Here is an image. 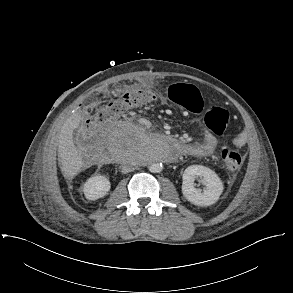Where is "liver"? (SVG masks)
Listing matches in <instances>:
<instances>
[{"label": "liver", "mask_w": 293, "mask_h": 293, "mask_svg": "<svg viewBox=\"0 0 293 293\" xmlns=\"http://www.w3.org/2000/svg\"><path fill=\"white\" fill-rule=\"evenodd\" d=\"M80 113L71 115L62 125L58 137V160L65 178H73L83 167V159L73 143V131L80 125Z\"/></svg>", "instance_id": "liver-1"}]
</instances>
